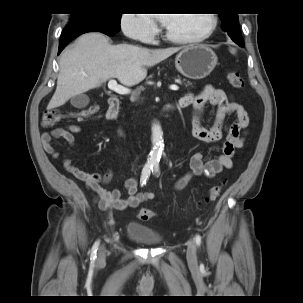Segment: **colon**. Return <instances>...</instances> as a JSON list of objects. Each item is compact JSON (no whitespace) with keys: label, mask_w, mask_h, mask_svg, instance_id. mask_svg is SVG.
Listing matches in <instances>:
<instances>
[{"label":"colon","mask_w":303,"mask_h":303,"mask_svg":"<svg viewBox=\"0 0 303 303\" xmlns=\"http://www.w3.org/2000/svg\"><path fill=\"white\" fill-rule=\"evenodd\" d=\"M227 79H228L229 83L234 88L239 89V88L244 87V81H243L242 77L240 76V74L237 71H234V70L229 71L227 73ZM96 111H97V106L92 105L89 108L81 111L78 114V116L82 117V118H86V117H89V116L93 115ZM61 119H62V114L59 111H57V110H47L43 115L42 124L45 127H54L57 124H59ZM223 187H224V183L213 186L209 190V192H208V194L205 198V201L206 202H211V201L216 200L220 196ZM153 217H154V213L151 210H148V209H142L138 214V218L140 220H150Z\"/></svg>","instance_id":"obj_1"}]
</instances>
